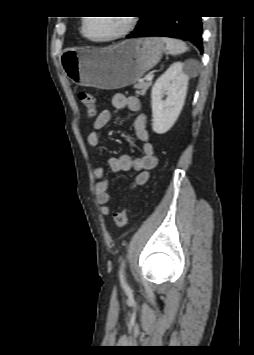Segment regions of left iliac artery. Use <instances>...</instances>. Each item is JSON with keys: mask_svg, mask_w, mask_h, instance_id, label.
<instances>
[{"mask_svg": "<svg viewBox=\"0 0 254 355\" xmlns=\"http://www.w3.org/2000/svg\"><path fill=\"white\" fill-rule=\"evenodd\" d=\"M124 267H125V263H124V261H122L121 266H120V271H119V278H120V282L123 286L126 285V280H125V275H124Z\"/></svg>", "mask_w": 254, "mask_h": 355, "instance_id": "left-iliac-artery-1", "label": "left iliac artery"}]
</instances>
